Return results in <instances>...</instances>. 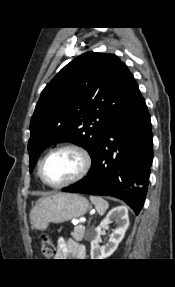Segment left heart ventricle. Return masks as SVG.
<instances>
[{
    "label": "left heart ventricle",
    "instance_id": "obj_1",
    "mask_svg": "<svg viewBox=\"0 0 175 287\" xmlns=\"http://www.w3.org/2000/svg\"><path fill=\"white\" fill-rule=\"evenodd\" d=\"M80 156L71 150L52 154L44 165V176L52 184L63 183L74 177L81 169Z\"/></svg>",
    "mask_w": 175,
    "mask_h": 287
}]
</instances>
